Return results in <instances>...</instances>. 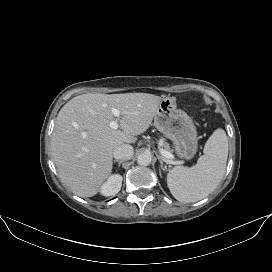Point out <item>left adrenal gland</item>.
I'll return each instance as SVG.
<instances>
[{
  "label": "left adrenal gland",
  "mask_w": 272,
  "mask_h": 272,
  "mask_svg": "<svg viewBox=\"0 0 272 272\" xmlns=\"http://www.w3.org/2000/svg\"><path fill=\"white\" fill-rule=\"evenodd\" d=\"M158 159H159V162H160V164H161V166H160L161 169H162V170H166V166H165V167L163 166V161H162V159H161L159 156H158Z\"/></svg>",
  "instance_id": "obj_1"
}]
</instances>
